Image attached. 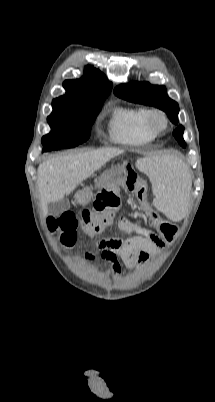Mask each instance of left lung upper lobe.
Masks as SVG:
<instances>
[{
    "instance_id": "5c2ea615",
    "label": "left lung upper lobe",
    "mask_w": 215,
    "mask_h": 402,
    "mask_svg": "<svg viewBox=\"0 0 215 402\" xmlns=\"http://www.w3.org/2000/svg\"><path fill=\"white\" fill-rule=\"evenodd\" d=\"M114 94L130 102L157 107L166 112L173 123H178L179 106L167 96L164 86L151 85L148 82H130L117 86L114 89ZM183 132L184 127L178 125L173 131V135L179 144L185 147Z\"/></svg>"
}]
</instances>
